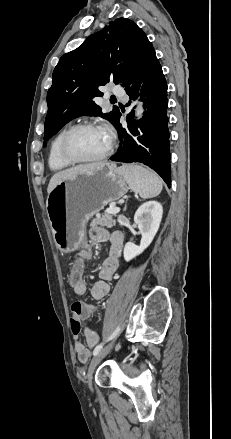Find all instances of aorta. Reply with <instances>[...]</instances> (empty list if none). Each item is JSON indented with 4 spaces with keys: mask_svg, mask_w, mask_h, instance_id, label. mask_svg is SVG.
Listing matches in <instances>:
<instances>
[{
    "mask_svg": "<svg viewBox=\"0 0 231 439\" xmlns=\"http://www.w3.org/2000/svg\"><path fill=\"white\" fill-rule=\"evenodd\" d=\"M142 114H143V105H142V103H139L137 108H136V116L138 118H141Z\"/></svg>",
    "mask_w": 231,
    "mask_h": 439,
    "instance_id": "762f6f07",
    "label": "aorta"
}]
</instances>
